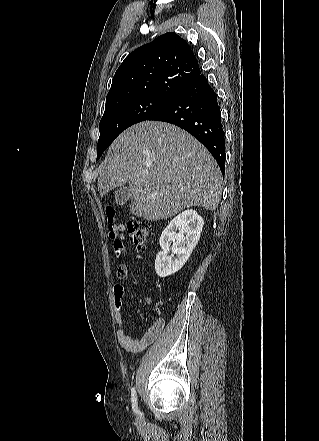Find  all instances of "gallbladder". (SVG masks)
Returning <instances> with one entry per match:
<instances>
[{"mask_svg": "<svg viewBox=\"0 0 319 441\" xmlns=\"http://www.w3.org/2000/svg\"><path fill=\"white\" fill-rule=\"evenodd\" d=\"M130 198L129 188L122 186L115 193V201L118 205H124Z\"/></svg>", "mask_w": 319, "mask_h": 441, "instance_id": "bac80fb5", "label": "gallbladder"}]
</instances>
